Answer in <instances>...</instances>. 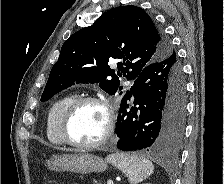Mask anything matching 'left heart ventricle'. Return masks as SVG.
Here are the masks:
<instances>
[{"mask_svg": "<svg viewBox=\"0 0 224 184\" xmlns=\"http://www.w3.org/2000/svg\"><path fill=\"white\" fill-rule=\"evenodd\" d=\"M106 113L95 103L81 105L73 115L69 131L73 140L79 143L97 141L104 133Z\"/></svg>", "mask_w": 224, "mask_h": 184, "instance_id": "left-heart-ventricle-1", "label": "left heart ventricle"}]
</instances>
